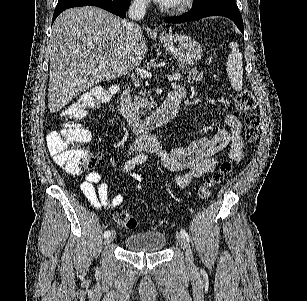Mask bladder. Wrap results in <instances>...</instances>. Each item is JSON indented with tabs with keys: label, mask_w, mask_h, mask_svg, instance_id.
<instances>
[{
	"label": "bladder",
	"mask_w": 307,
	"mask_h": 301,
	"mask_svg": "<svg viewBox=\"0 0 307 301\" xmlns=\"http://www.w3.org/2000/svg\"><path fill=\"white\" fill-rule=\"evenodd\" d=\"M166 243V234L161 231L135 232L125 239L124 246L131 251L153 252L162 251Z\"/></svg>",
	"instance_id": "bladder-1"
}]
</instances>
